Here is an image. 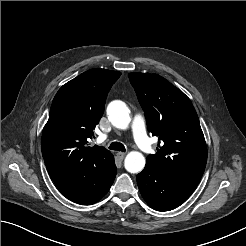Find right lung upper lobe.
Segmentation results:
<instances>
[{"instance_id": "right-lung-upper-lobe-1", "label": "right lung upper lobe", "mask_w": 246, "mask_h": 246, "mask_svg": "<svg viewBox=\"0 0 246 246\" xmlns=\"http://www.w3.org/2000/svg\"><path fill=\"white\" fill-rule=\"evenodd\" d=\"M118 71L90 69L63 85L51 105L41 140L42 154L52 179L91 165L108 164L112 154L88 139L101 119L107 94Z\"/></svg>"}]
</instances>
